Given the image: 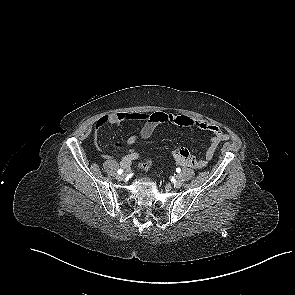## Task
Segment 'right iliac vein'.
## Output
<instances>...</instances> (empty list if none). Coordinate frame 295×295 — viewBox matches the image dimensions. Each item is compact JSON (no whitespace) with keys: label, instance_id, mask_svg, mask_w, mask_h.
I'll return each instance as SVG.
<instances>
[{"label":"right iliac vein","instance_id":"63e3f726","mask_svg":"<svg viewBox=\"0 0 295 295\" xmlns=\"http://www.w3.org/2000/svg\"><path fill=\"white\" fill-rule=\"evenodd\" d=\"M125 178L124 174L117 175V180L122 181Z\"/></svg>","mask_w":295,"mask_h":295}]
</instances>
